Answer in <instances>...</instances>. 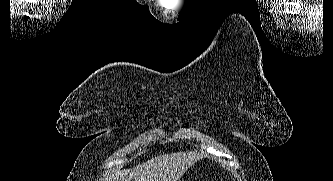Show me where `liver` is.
Listing matches in <instances>:
<instances>
[{
	"mask_svg": "<svg viewBox=\"0 0 333 181\" xmlns=\"http://www.w3.org/2000/svg\"><path fill=\"white\" fill-rule=\"evenodd\" d=\"M201 155L193 152H177L157 156L132 169L119 170L107 181H178Z\"/></svg>",
	"mask_w": 333,
	"mask_h": 181,
	"instance_id": "obj_1",
	"label": "liver"
}]
</instances>
